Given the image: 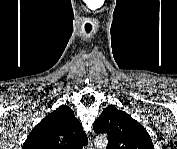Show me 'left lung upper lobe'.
Instances as JSON below:
<instances>
[{
	"instance_id": "left-lung-upper-lobe-1",
	"label": "left lung upper lobe",
	"mask_w": 177,
	"mask_h": 149,
	"mask_svg": "<svg viewBox=\"0 0 177 149\" xmlns=\"http://www.w3.org/2000/svg\"><path fill=\"white\" fill-rule=\"evenodd\" d=\"M93 128L108 135L109 149H154L146 129L115 106L105 108Z\"/></svg>"
}]
</instances>
